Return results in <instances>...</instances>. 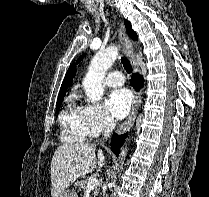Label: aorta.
<instances>
[{"label": "aorta", "mask_w": 209, "mask_h": 197, "mask_svg": "<svg viewBox=\"0 0 209 197\" xmlns=\"http://www.w3.org/2000/svg\"><path fill=\"white\" fill-rule=\"evenodd\" d=\"M118 50L117 46H110L106 50L96 53L92 58L88 72L83 80L86 95L92 102L99 101L103 96L102 81L106 71L115 62ZM121 155L120 159L123 161L126 156V149L123 148ZM120 168H122V165Z\"/></svg>", "instance_id": "1"}]
</instances>
